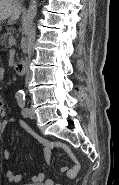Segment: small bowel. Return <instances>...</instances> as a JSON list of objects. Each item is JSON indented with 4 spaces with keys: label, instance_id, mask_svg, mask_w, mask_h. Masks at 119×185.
<instances>
[{
    "label": "small bowel",
    "instance_id": "obj_1",
    "mask_svg": "<svg viewBox=\"0 0 119 185\" xmlns=\"http://www.w3.org/2000/svg\"><path fill=\"white\" fill-rule=\"evenodd\" d=\"M3 77H4V69L1 68L0 69V78L2 79ZM0 114L2 116L5 115V108H4V105L2 102H0ZM11 123L19 124L21 127H23L26 131L31 133L36 138V140L44 147L45 159H46L47 163L50 162V152H51L52 148H59V149H62L63 151H65L71 159V166L70 167H62L61 172L65 173L68 179L76 178V176L80 170V163L68 146H66L65 144H63L61 142H51L43 137H40L39 135L34 133L29 126H27L24 123L18 122L14 119H10V120L3 119L1 122V132L5 133V131L7 130L8 126ZM3 157L6 160L10 159L11 154L7 149L3 150ZM4 173H5L6 178L10 182H13V183L20 182L23 177L20 174H15L10 169H6ZM32 181L42 183V185H54L53 181L51 179H46L45 174L42 172L34 175L32 177ZM57 185H60V184H57Z\"/></svg>",
    "mask_w": 119,
    "mask_h": 185
}]
</instances>
